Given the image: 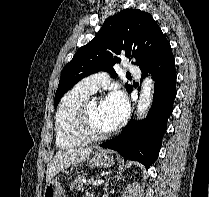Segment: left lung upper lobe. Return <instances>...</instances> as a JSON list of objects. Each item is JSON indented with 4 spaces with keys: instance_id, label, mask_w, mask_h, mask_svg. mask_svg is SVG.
<instances>
[{
    "instance_id": "left-lung-upper-lobe-1",
    "label": "left lung upper lobe",
    "mask_w": 209,
    "mask_h": 197,
    "mask_svg": "<svg viewBox=\"0 0 209 197\" xmlns=\"http://www.w3.org/2000/svg\"><path fill=\"white\" fill-rule=\"evenodd\" d=\"M166 40L158 24L147 12L124 9L108 17L95 38L81 47L64 67L55 94V107L72 86L90 74L107 71L116 78L113 66L120 62L119 55L123 51L127 57H134L140 67L150 60ZM126 89L130 92L132 87L126 83Z\"/></svg>"
}]
</instances>
